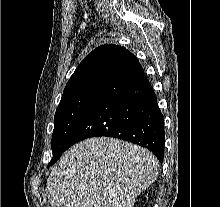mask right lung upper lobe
<instances>
[{
	"instance_id": "1",
	"label": "right lung upper lobe",
	"mask_w": 220,
	"mask_h": 207,
	"mask_svg": "<svg viewBox=\"0 0 220 207\" xmlns=\"http://www.w3.org/2000/svg\"><path fill=\"white\" fill-rule=\"evenodd\" d=\"M137 62L138 59L124 47L113 44L102 45L81 61L67 82L64 93L95 80H106Z\"/></svg>"
}]
</instances>
